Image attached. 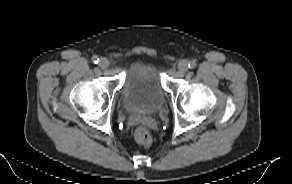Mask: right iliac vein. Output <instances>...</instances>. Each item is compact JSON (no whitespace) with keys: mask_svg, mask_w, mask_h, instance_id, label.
<instances>
[{"mask_svg":"<svg viewBox=\"0 0 292 184\" xmlns=\"http://www.w3.org/2000/svg\"><path fill=\"white\" fill-rule=\"evenodd\" d=\"M109 60L106 58H101L99 61V66L103 69L107 68L109 66Z\"/></svg>","mask_w":292,"mask_h":184,"instance_id":"right-iliac-vein-1","label":"right iliac vein"}]
</instances>
